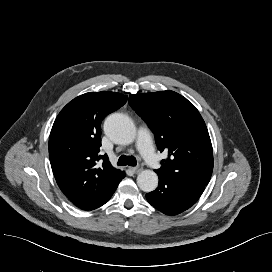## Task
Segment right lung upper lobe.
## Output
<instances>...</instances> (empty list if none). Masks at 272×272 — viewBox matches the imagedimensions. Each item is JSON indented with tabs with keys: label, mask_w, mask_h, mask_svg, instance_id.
Returning <instances> with one entry per match:
<instances>
[{
	"label": "right lung upper lobe",
	"mask_w": 272,
	"mask_h": 272,
	"mask_svg": "<svg viewBox=\"0 0 272 272\" xmlns=\"http://www.w3.org/2000/svg\"><path fill=\"white\" fill-rule=\"evenodd\" d=\"M127 96L90 92L69 102L57 116L49 137V157L58 186L77 207L88 209L125 175L107 155H100L101 121L123 106Z\"/></svg>",
	"instance_id": "cb5924a9"
}]
</instances>
